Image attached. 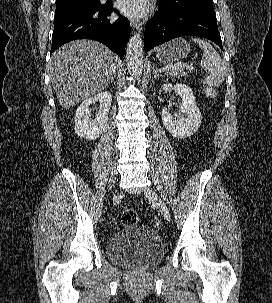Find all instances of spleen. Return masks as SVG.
I'll return each instance as SVG.
<instances>
[{
    "label": "spleen",
    "mask_w": 272,
    "mask_h": 303,
    "mask_svg": "<svg viewBox=\"0 0 272 303\" xmlns=\"http://www.w3.org/2000/svg\"><path fill=\"white\" fill-rule=\"evenodd\" d=\"M192 41L203 51L200 65L207 72L203 81V91L207 97L215 98L217 95L215 88L221 86L225 79L226 62L208 42L199 38H194Z\"/></svg>",
    "instance_id": "obj_1"
}]
</instances>
